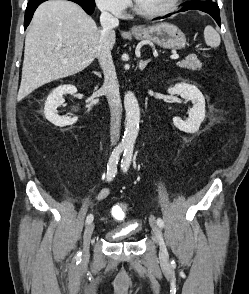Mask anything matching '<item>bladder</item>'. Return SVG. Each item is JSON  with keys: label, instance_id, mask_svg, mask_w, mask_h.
I'll use <instances>...</instances> for the list:
<instances>
[{"label": "bladder", "instance_id": "bladder-1", "mask_svg": "<svg viewBox=\"0 0 249 294\" xmlns=\"http://www.w3.org/2000/svg\"><path fill=\"white\" fill-rule=\"evenodd\" d=\"M129 223L125 222V225L123 227H120L116 230L110 231L105 235V238L108 242H117L122 240H132L137 235H139L142 231L141 228H128Z\"/></svg>", "mask_w": 249, "mask_h": 294}]
</instances>
